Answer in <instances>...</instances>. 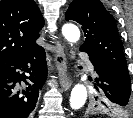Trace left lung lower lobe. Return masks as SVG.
<instances>
[{"mask_svg":"<svg viewBox=\"0 0 133 118\" xmlns=\"http://www.w3.org/2000/svg\"><path fill=\"white\" fill-rule=\"evenodd\" d=\"M88 55L97 73V78L94 80L95 86L103 90L105 103L109 107L116 105L128 107L131 94L130 80L103 59L93 54Z\"/></svg>","mask_w":133,"mask_h":118,"instance_id":"1","label":"left lung lower lobe"}]
</instances>
